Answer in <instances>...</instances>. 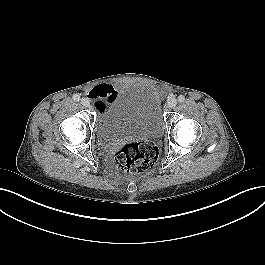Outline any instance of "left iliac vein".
Listing matches in <instances>:
<instances>
[{"instance_id":"4c4485c4","label":"left iliac vein","mask_w":265,"mask_h":265,"mask_svg":"<svg viewBox=\"0 0 265 265\" xmlns=\"http://www.w3.org/2000/svg\"><path fill=\"white\" fill-rule=\"evenodd\" d=\"M167 105H168L169 108H173V107H175V106L177 105V100H176V98H174V97L170 98V99L168 100V102H167Z\"/></svg>"}]
</instances>
